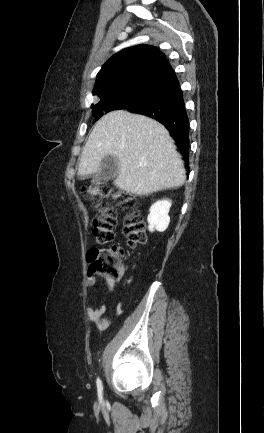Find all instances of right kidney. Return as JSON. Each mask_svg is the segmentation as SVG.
Segmentation results:
<instances>
[{
	"instance_id": "ca27d5eb",
	"label": "right kidney",
	"mask_w": 264,
	"mask_h": 433,
	"mask_svg": "<svg viewBox=\"0 0 264 433\" xmlns=\"http://www.w3.org/2000/svg\"><path fill=\"white\" fill-rule=\"evenodd\" d=\"M171 207V201L159 200L150 207V214L148 215V228L151 232L157 230L163 232L168 228L170 217L168 215Z\"/></svg>"
}]
</instances>
